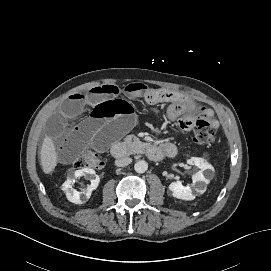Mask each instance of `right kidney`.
I'll use <instances>...</instances> for the list:
<instances>
[{
    "label": "right kidney",
    "mask_w": 271,
    "mask_h": 271,
    "mask_svg": "<svg viewBox=\"0 0 271 271\" xmlns=\"http://www.w3.org/2000/svg\"><path fill=\"white\" fill-rule=\"evenodd\" d=\"M81 176H85L86 178L90 179L91 184L86 190L78 192L73 188V184L75 182V178H79ZM99 181L100 178L98 175H96L93 169L84 168L76 170L73 176H68L67 180L62 184L61 189L64 191L67 199L70 202L75 204H83L90 198L92 191L97 188Z\"/></svg>",
    "instance_id": "right-kidney-1"
}]
</instances>
